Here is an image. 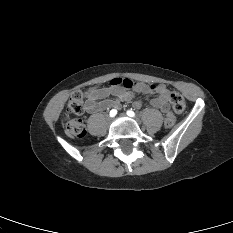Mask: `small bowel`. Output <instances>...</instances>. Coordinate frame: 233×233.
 <instances>
[{
  "mask_svg": "<svg viewBox=\"0 0 233 233\" xmlns=\"http://www.w3.org/2000/svg\"><path fill=\"white\" fill-rule=\"evenodd\" d=\"M120 80L121 78L113 79V82L106 87H92L88 89L84 94L80 95L85 98L86 110L90 113L106 110L112 106H119L122 102H131L136 108L141 106L140 101L136 100L137 93H150L156 96L150 100V104L166 112V104L170 98L169 90L163 85H150L137 83L134 88L125 87ZM153 87V90L150 89ZM170 112L167 113V115ZM166 115V116H167Z\"/></svg>",
  "mask_w": 233,
  "mask_h": 233,
  "instance_id": "1",
  "label": "small bowel"
}]
</instances>
